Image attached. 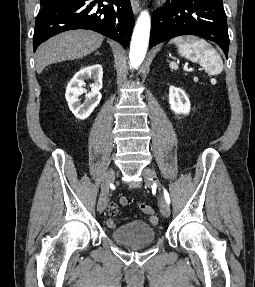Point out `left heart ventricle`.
Listing matches in <instances>:
<instances>
[{"mask_svg":"<svg viewBox=\"0 0 255 287\" xmlns=\"http://www.w3.org/2000/svg\"><path fill=\"white\" fill-rule=\"evenodd\" d=\"M140 48H163V47H140Z\"/></svg>","mask_w":255,"mask_h":287,"instance_id":"1","label":"left heart ventricle"}]
</instances>
